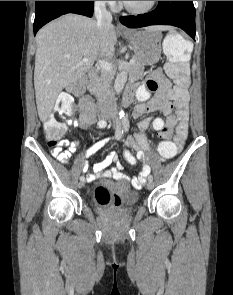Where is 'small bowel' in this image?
<instances>
[{"label":"small bowel","instance_id":"1","mask_svg":"<svg viewBox=\"0 0 233 295\" xmlns=\"http://www.w3.org/2000/svg\"><path fill=\"white\" fill-rule=\"evenodd\" d=\"M154 93L152 97L150 94ZM137 98L139 103L134 110V117L140 118L153 112H161L166 116L162 118L144 117L138 124V131L133 137L126 139V145L137 152L136 158L141 165L140 174L137 178L130 179L123 173V167L119 157L115 151L92 166V173L87 176L88 181L95 178H112L115 180H131L135 185L143 184L146 177L150 173V167L145 163V151L148 149L145 130L151 124L153 129L159 133L166 127L171 131L176 129L174 135V144L177 149H181L185 143L188 130V92L183 94H175L171 88L170 82L166 79L160 69L155 70L147 81L137 90ZM80 115L77 120H73L72 124L82 129H87L95 123L94 106L89 96L84 95L79 102ZM98 129L102 130L106 126V121L101 119L97 122ZM103 136L99 141L95 142L86 151V160L83 163V171L89 170L87 159L99 151L109 140L105 133L98 132ZM67 149L63 150L59 145L51 150V154L61 163H69L72 154L77 150L79 142L74 140L64 143ZM115 165V167H110Z\"/></svg>","mask_w":233,"mask_h":295}]
</instances>
